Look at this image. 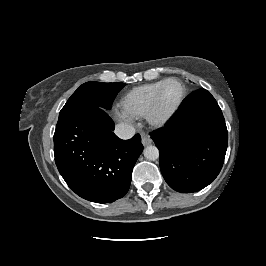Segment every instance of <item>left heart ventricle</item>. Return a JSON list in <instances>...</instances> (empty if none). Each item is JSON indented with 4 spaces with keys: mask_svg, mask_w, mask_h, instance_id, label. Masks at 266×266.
<instances>
[{
    "mask_svg": "<svg viewBox=\"0 0 266 266\" xmlns=\"http://www.w3.org/2000/svg\"><path fill=\"white\" fill-rule=\"evenodd\" d=\"M181 95V87L177 82L167 84L159 98L158 102V116L164 117L177 104Z\"/></svg>",
    "mask_w": 266,
    "mask_h": 266,
    "instance_id": "1",
    "label": "left heart ventricle"
}]
</instances>
